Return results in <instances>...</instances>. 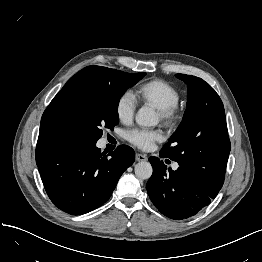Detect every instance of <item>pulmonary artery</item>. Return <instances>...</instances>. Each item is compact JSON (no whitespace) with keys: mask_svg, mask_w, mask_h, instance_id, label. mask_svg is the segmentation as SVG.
I'll use <instances>...</instances> for the list:
<instances>
[{"mask_svg":"<svg viewBox=\"0 0 262 262\" xmlns=\"http://www.w3.org/2000/svg\"><path fill=\"white\" fill-rule=\"evenodd\" d=\"M177 168H178V164H174L173 169H177Z\"/></svg>","mask_w":262,"mask_h":262,"instance_id":"pulmonary-artery-1","label":"pulmonary artery"}]
</instances>
